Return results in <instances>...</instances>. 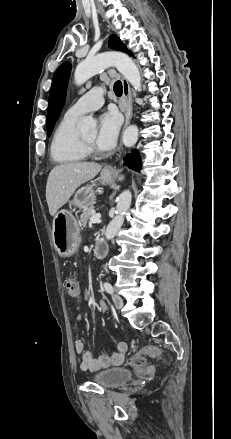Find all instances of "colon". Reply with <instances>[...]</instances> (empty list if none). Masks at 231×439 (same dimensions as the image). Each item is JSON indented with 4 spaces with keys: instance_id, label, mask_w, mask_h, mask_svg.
<instances>
[{
    "instance_id": "1",
    "label": "colon",
    "mask_w": 231,
    "mask_h": 439,
    "mask_svg": "<svg viewBox=\"0 0 231 439\" xmlns=\"http://www.w3.org/2000/svg\"><path fill=\"white\" fill-rule=\"evenodd\" d=\"M65 289L70 298H79L80 291H85L81 282H79V279L76 276L68 278L65 281ZM160 355L161 351L156 346H146L130 356L128 359V364L139 376L150 380L154 376V368L147 364L146 358H155L159 357Z\"/></svg>"
}]
</instances>
